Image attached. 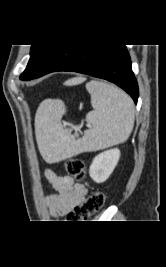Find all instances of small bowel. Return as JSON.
<instances>
[{
	"instance_id": "1",
	"label": "small bowel",
	"mask_w": 166,
	"mask_h": 267,
	"mask_svg": "<svg viewBox=\"0 0 166 267\" xmlns=\"http://www.w3.org/2000/svg\"><path fill=\"white\" fill-rule=\"evenodd\" d=\"M44 176L56 194L48 197L49 211L53 216H64L85 198L87 189L68 175H57L53 170L46 169Z\"/></svg>"
}]
</instances>
